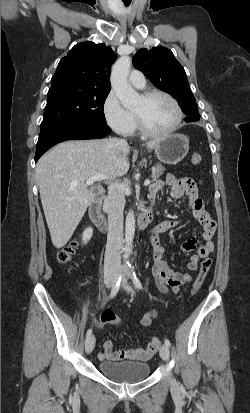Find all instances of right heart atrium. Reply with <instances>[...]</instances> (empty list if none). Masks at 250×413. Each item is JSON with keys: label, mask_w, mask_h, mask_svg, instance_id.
<instances>
[{"label": "right heart atrium", "mask_w": 250, "mask_h": 413, "mask_svg": "<svg viewBox=\"0 0 250 413\" xmlns=\"http://www.w3.org/2000/svg\"><path fill=\"white\" fill-rule=\"evenodd\" d=\"M102 112L107 125L118 134L128 136L134 130V116L111 90L104 99Z\"/></svg>", "instance_id": "right-heart-atrium-1"}]
</instances>
